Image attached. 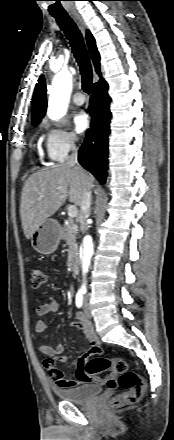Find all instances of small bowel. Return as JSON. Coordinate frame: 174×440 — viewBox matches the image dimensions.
Returning <instances> with one entry per match:
<instances>
[{
	"label": "small bowel",
	"mask_w": 174,
	"mask_h": 440,
	"mask_svg": "<svg viewBox=\"0 0 174 440\" xmlns=\"http://www.w3.org/2000/svg\"><path fill=\"white\" fill-rule=\"evenodd\" d=\"M59 310V303L56 299L50 298L46 303L40 305L36 309V313L39 316L55 313ZM79 321L72 324V327L78 328L82 331L83 335L89 343V350L85 353L78 361L76 368V379H67L65 373L56 367L55 360L65 363L68 357L64 354V346L62 344L55 347L49 346L43 342L39 344L40 351L49 357L44 362V365L52 378V380L61 387L64 388H74L89 382H101L98 378L94 376H89L85 371V364L88 356L95 354L101 350V343L95 334L93 325L90 321L84 318L81 313H78ZM46 330V323L38 319L35 322V331L37 335H42Z\"/></svg>",
	"instance_id": "obj_1"
}]
</instances>
